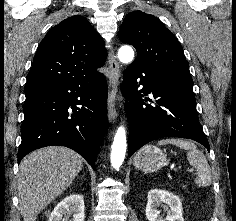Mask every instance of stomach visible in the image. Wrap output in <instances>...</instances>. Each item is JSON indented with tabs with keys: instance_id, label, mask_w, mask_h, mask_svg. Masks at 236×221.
<instances>
[{
	"instance_id": "obj_1",
	"label": "stomach",
	"mask_w": 236,
	"mask_h": 221,
	"mask_svg": "<svg viewBox=\"0 0 236 221\" xmlns=\"http://www.w3.org/2000/svg\"><path fill=\"white\" fill-rule=\"evenodd\" d=\"M133 164L138 170L151 173L165 166L167 157L160 148L146 145L135 154Z\"/></svg>"
}]
</instances>
